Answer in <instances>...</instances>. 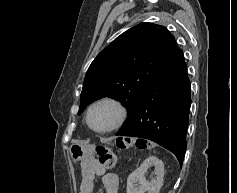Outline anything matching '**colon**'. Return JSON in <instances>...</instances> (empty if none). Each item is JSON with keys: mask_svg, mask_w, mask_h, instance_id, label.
I'll use <instances>...</instances> for the list:
<instances>
[{"mask_svg": "<svg viewBox=\"0 0 237 193\" xmlns=\"http://www.w3.org/2000/svg\"><path fill=\"white\" fill-rule=\"evenodd\" d=\"M116 145L120 149H129L133 146L137 148H145L146 146L143 144L140 139H132L129 137L118 138L116 141ZM95 161L100 166V168L104 170H111L114 168L116 163V155L114 151L107 147H98L96 149V159Z\"/></svg>", "mask_w": 237, "mask_h": 193, "instance_id": "obj_1", "label": "colon"}]
</instances>
